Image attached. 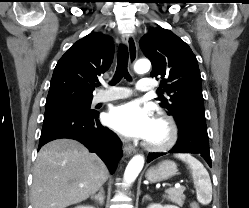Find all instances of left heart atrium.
<instances>
[{
    "instance_id": "obj_1",
    "label": "left heart atrium",
    "mask_w": 249,
    "mask_h": 208,
    "mask_svg": "<svg viewBox=\"0 0 249 208\" xmlns=\"http://www.w3.org/2000/svg\"><path fill=\"white\" fill-rule=\"evenodd\" d=\"M106 120L110 127L130 139L149 140L155 126L150 109L138 101L114 107Z\"/></svg>"
}]
</instances>
